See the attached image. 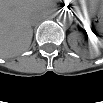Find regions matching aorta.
<instances>
[{
	"instance_id": "1",
	"label": "aorta",
	"mask_w": 103,
	"mask_h": 103,
	"mask_svg": "<svg viewBox=\"0 0 103 103\" xmlns=\"http://www.w3.org/2000/svg\"><path fill=\"white\" fill-rule=\"evenodd\" d=\"M56 20L59 23V25L63 27H68L72 23V16L68 11L61 10L58 12Z\"/></svg>"
}]
</instances>
